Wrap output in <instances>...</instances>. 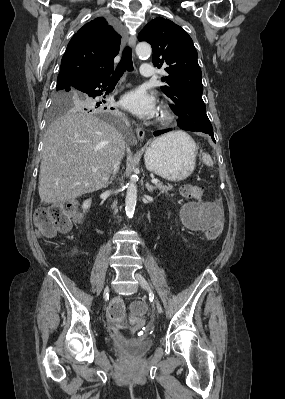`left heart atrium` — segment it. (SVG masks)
Here are the masks:
<instances>
[{
    "label": "left heart atrium",
    "instance_id": "left-heart-atrium-1",
    "mask_svg": "<svg viewBox=\"0 0 285 399\" xmlns=\"http://www.w3.org/2000/svg\"><path fill=\"white\" fill-rule=\"evenodd\" d=\"M121 104L126 110L143 119L152 118L157 114L154 97L142 88H136L126 93L122 97Z\"/></svg>",
    "mask_w": 285,
    "mask_h": 399
}]
</instances>
